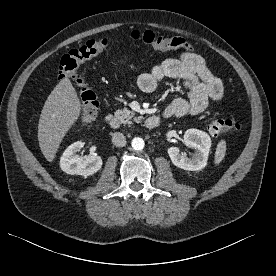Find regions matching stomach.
<instances>
[{
  "mask_svg": "<svg viewBox=\"0 0 276 276\" xmlns=\"http://www.w3.org/2000/svg\"><path fill=\"white\" fill-rule=\"evenodd\" d=\"M123 64L126 62L125 59L121 61Z\"/></svg>",
  "mask_w": 276,
  "mask_h": 276,
  "instance_id": "1",
  "label": "stomach"
}]
</instances>
